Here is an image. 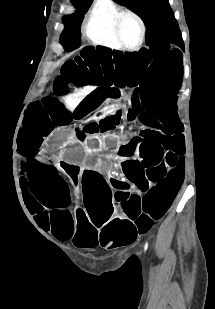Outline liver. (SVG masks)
I'll return each instance as SVG.
<instances>
[{
  "mask_svg": "<svg viewBox=\"0 0 215 309\" xmlns=\"http://www.w3.org/2000/svg\"><path fill=\"white\" fill-rule=\"evenodd\" d=\"M94 88H96V86H91V84H87V86H79V88L74 86L73 92L66 94V96H59V98L60 100H63L69 110H74L79 102H81L87 94H90Z\"/></svg>",
  "mask_w": 215,
  "mask_h": 309,
  "instance_id": "obj_1",
  "label": "liver"
}]
</instances>
